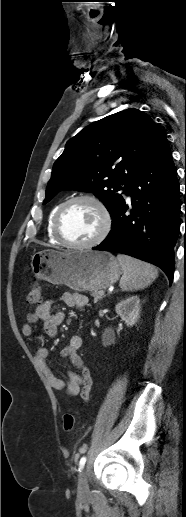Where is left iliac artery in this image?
I'll return each instance as SVG.
<instances>
[{
    "instance_id": "left-iliac-artery-1",
    "label": "left iliac artery",
    "mask_w": 186,
    "mask_h": 517,
    "mask_svg": "<svg viewBox=\"0 0 186 517\" xmlns=\"http://www.w3.org/2000/svg\"><path fill=\"white\" fill-rule=\"evenodd\" d=\"M86 463V457L83 456L79 461V471H81Z\"/></svg>"
}]
</instances>
